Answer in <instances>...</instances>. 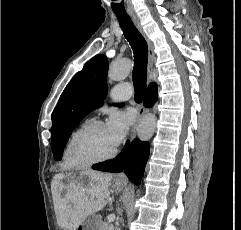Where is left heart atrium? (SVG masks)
<instances>
[{
    "label": "left heart atrium",
    "instance_id": "39dd6f15",
    "mask_svg": "<svg viewBox=\"0 0 241 230\" xmlns=\"http://www.w3.org/2000/svg\"><path fill=\"white\" fill-rule=\"evenodd\" d=\"M129 112H114L105 125L108 137L112 144L117 147L125 139L129 125L132 123Z\"/></svg>",
    "mask_w": 241,
    "mask_h": 230
}]
</instances>
